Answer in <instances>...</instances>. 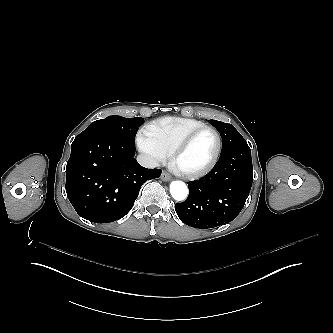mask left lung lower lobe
Returning <instances> with one entry per match:
<instances>
[{
  "mask_svg": "<svg viewBox=\"0 0 333 333\" xmlns=\"http://www.w3.org/2000/svg\"><path fill=\"white\" fill-rule=\"evenodd\" d=\"M253 181L248 144L221 154L214 168L189 182V196L175 204L180 220L192 227L214 228L231 222L241 212Z\"/></svg>",
  "mask_w": 333,
  "mask_h": 333,
  "instance_id": "0a47b994",
  "label": "left lung lower lobe"
}]
</instances>
